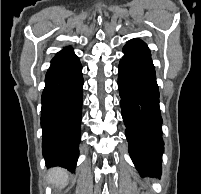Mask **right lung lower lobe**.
<instances>
[{"label":"right lung lower lobe","mask_w":201,"mask_h":194,"mask_svg":"<svg viewBox=\"0 0 201 194\" xmlns=\"http://www.w3.org/2000/svg\"><path fill=\"white\" fill-rule=\"evenodd\" d=\"M82 99V66L78 57L51 61L41 99L42 153L48 167L75 170Z\"/></svg>","instance_id":"1"}]
</instances>
